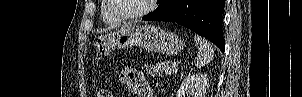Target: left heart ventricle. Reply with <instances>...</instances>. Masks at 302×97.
Instances as JSON below:
<instances>
[{
  "label": "left heart ventricle",
  "mask_w": 302,
  "mask_h": 97,
  "mask_svg": "<svg viewBox=\"0 0 302 97\" xmlns=\"http://www.w3.org/2000/svg\"><path fill=\"white\" fill-rule=\"evenodd\" d=\"M114 4L119 13L131 15L143 10L148 0H114Z\"/></svg>",
  "instance_id": "1"
}]
</instances>
